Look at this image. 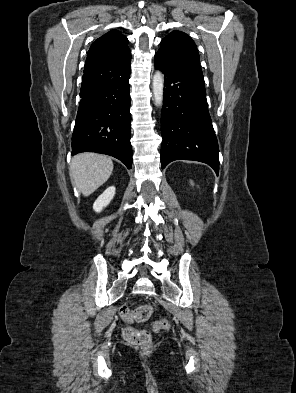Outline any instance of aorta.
<instances>
[{"instance_id": "762f6f07", "label": "aorta", "mask_w": 296, "mask_h": 393, "mask_svg": "<svg viewBox=\"0 0 296 393\" xmlns=\"http://www.w3.org/2000/svg\"><path fill=\"white\" fill-rule=\"evenodd\" d=\"M152 90L154 95L155 105L162 106L164 93V75L161 71H156L153 76Z\"/></svg>"}]
</instances>
